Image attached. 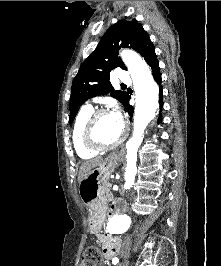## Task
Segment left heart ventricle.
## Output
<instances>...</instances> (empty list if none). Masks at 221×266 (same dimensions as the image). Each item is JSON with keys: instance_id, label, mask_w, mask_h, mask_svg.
Returning <instances> with one entry per match:
<instances>
[{"instance_id": "left-heart-ventricle-1", "label": "left heart ventricle", "mask_w": 221, "mask_h": 266, "mask_svg": "<svg viewBox=\"0 0 221 266\" xmlns=\"http://www.w3.org/2000/svg\"><path fill=\"white\" fill-rule=\"evenodd\" d=\"M122 132V124L116 121L111 113L101 115L96 123L95 136L103 143H111L118 139Z\"/></svg>"}]
</instances>
